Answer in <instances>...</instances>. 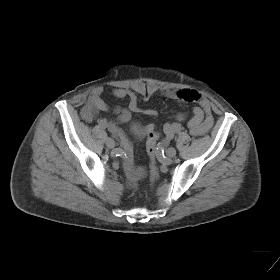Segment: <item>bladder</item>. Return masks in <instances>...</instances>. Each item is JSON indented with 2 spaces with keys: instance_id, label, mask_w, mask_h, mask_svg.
I'll list each match as a JSON object with an SVG mask.
<instances>
[{
  "instance_id": "bladder-1",
  "label": "bladder",
  "mask_w": 280,
  "mask_h": 280,
  "mask_svg": "<svg viewBox=\"0 0 280 280\" xmlns=\"http://www.w3.org/2000/svg\"><path fill=\"white\" fill-rule=\"evenodd\" d=\"M132 131L136 134V135H139L140 134V130L137 126H134Z\"/></svg>"
}]
</instances>
